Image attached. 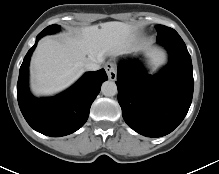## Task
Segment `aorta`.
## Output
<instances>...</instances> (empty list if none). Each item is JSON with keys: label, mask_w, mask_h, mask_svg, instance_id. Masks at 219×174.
I'll return each instance as SVG.
<instances>
[{"label": "aorta", "mask_w": 219, "mask_h": 174, "mask_svg": "<svg viewBox=\"0 0 219 174\" xmlns=\"http://www.w3.org/2000/svg\"><path fill=\"white\" fill-rule=\"evenodd\" d=\"M101 92L104 96L112 97L117 94V86L113 81H105L101 86Z\"/></svg>", "instance_id": "1"}]
</instances>
